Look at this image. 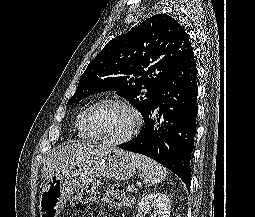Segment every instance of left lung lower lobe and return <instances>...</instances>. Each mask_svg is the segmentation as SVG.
<instances>
[{"mask_svg":"<svg viewBox=\"0 0 255 217\" xmlns=\"http://www.w3.org/2000/svg\"><path fill=\"white\" fill-rule=\"evenodd\" d=\"M197 73L191 50L162 81L140 133L119 147L156 160L179 176L188 189L198 113Z\"/></svg>","mask_w":255,"mask_h":217,"instance_id":"0a47b994","label":"left lung lower lobe"}]
</instances>
